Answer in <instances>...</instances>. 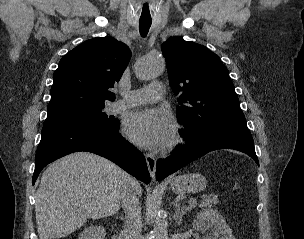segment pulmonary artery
Listing matches in <instances>:
<instances>
[{
    "mask_svg": "<svg viewBox=\"0 0 304 239\" xmlns=\"http://www.w3.org/2000/svg\"><path fill=\"white\" fill-rule=\"evenodd\" d=\"M163 94L164 86L155 82L143 89L125 93L122 99L112 104L111 109L118 112L134 106L157 102L162 99Z\"/></svg>",
    "mask_w": 304,
    "mask_h": 239,
    "instance_id": "pulmonary-artery-1",
    "label": "pulmonary artery"
}]
</instances>
